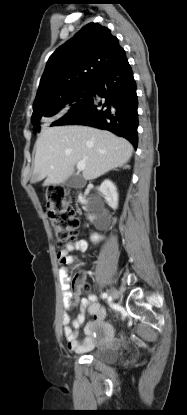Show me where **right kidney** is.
Segmentation results:
<instances>
[{
	"mask_svg": "<svg viewBox=\"0 0 187 415\" xmlns=\"http://www.w3.org/2000/svg\"><path fill=\"white\" fill-rule=\"evenodd\" d=\"M100 191H101L103 197L105 198L107 204L111 208L117 209V206H118V193H117V188L114 185V183L112 181H110L109 179L103 181V183L100 186ZM102 239H103V237L96 234V233L91 235V241L94 242V243H98Z\"/></svg>",
	"mask_w": 187,
	"mask_h": 415,
	"instance_id": "1",
	"label": "right kidney"
}]
</instances>
